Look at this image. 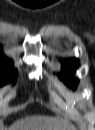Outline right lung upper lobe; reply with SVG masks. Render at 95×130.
<instances>
[{"instance_id": "obj_1", "label": "right lung upper lobe", "mask_w": 95, "mask_h": 130, "mask_svg": "<svg viewBox=\"0 0 95 130\" xmlns=\"http://www.w3.org/2000/svg\"><path fill=\"white\" fill-rule=\"evenodd\" d=\"M11 70H14L12 68L11 63L3 54H1L0 55V71H11Z\"/></svg>"}]
</instances>
